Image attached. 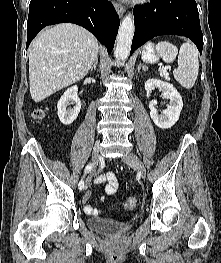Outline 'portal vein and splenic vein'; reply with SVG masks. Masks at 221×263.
<instances>
[{"label": "portal vein and splenic vein", "mask_w": 221, "mask_h": 263, "mask_svg": "<svg viewBox=\"0 0 221 263\" xmlns=\"http://www.w3.org/2000/svg\"><path fill=\"white\" fill-rule=\"evenodd\" d=\"M167 69H170V67H167ZM169 74L168 73H166V76H168Z\"/></svg>", "instance_id": "obj_1"}]
</instances>
